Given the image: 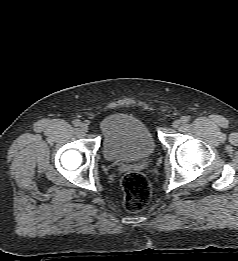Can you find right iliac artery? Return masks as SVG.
Listing matches in <instances>:
<instances>
[{"instance_id":"1","label":"right iliac artery","mask_w":238,"mask_h":261,"mask_svg":"<svg viewBox=\"0 0 238 261\" xmlns=\"http://www.w3.org/2000/svg\"><path fill=\"white\" fill-rule=\"evenodd\" d=\"M73 125L76 126V127H77V126H80V125H81L80 120H77V119L74 120V121H73Z\"/></svg>"}]
</instances>
